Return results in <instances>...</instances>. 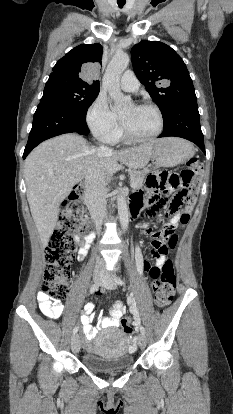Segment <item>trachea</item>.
Returning <instances> with one entry per match:
<instances>
[{
  "label": "trachea",
  "instance_id": "trachea-1",
  "mask_svg": "<svg viewBox=\"0 0 233 414\" xmlns=\"http://www.w3.org/2000/svg\"><path fill=\"white\" fill-rule=\"evenodd\" d=\"M117 3H118V6H119L120 8H122V7L125 5L126 0H117Z\"/></svg>",
  "mask_w": 233,
  "mask_h": 414
}]
</instances>
